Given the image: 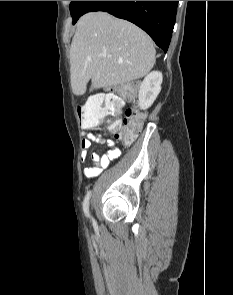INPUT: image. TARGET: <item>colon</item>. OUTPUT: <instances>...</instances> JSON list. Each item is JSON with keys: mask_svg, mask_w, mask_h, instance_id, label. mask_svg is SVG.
Returning <instances> with one entry per match:
<instances>
[{"mask_svg": "<svg viewBox=\"0 0 233 295\" xmlns=\"http://www.w3.org/2000/svg\"><path fill=\"white\" fill-rule=\"evenodd\" d=\"M137 89L138 84L131 82L112 89L110 93L93 96L84 105L78 107L81 123L89 126L107 116H118L124 106L123 98H132ZM143 120V113L129 107L125 111L124 118L111 123L108 128L118 140L130 144L142 129Z\"/></svg>", "mask_w": 233, "mask_h": 295, "instance_id": "1", "label": "colon"}]
</instances>
